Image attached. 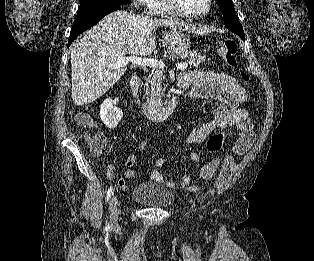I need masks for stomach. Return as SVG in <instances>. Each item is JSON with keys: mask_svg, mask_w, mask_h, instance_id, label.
Instances as JSON below:
<instances>
[{"mask_svg": "<svg viewBox=\"0 0 314 261\" xmlns=\"http://www.w3.org/2000/svg\"><path fill=\"white\" fill-rule=\"evenodd\" d=\"M164 42L167 45H173L183 50H189L191 45L189 39L180 30L175 28L165 34Z\"/></svg>", "mask_w": 314, "mask_h": 261, "instance_id": "0dacf381", "label": "stomach"}]
</instances>
